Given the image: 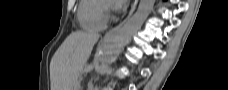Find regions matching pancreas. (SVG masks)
<instances>
[{"mask_svg": "<svg viewBox=\"0 0 228 90\" xmlns=\"http://www.w3.org/2000/svg\"><path fill=\"white\" fill-rule=\"evenodd\" d=\"M76 89H77V90L80 89V84H79V82H77V84H76Z\"/></svg>", "mask_w": 228, "mask_h": 90, "instance_id": "pancreas-1", "label": "pancreas"}]
</instances>
